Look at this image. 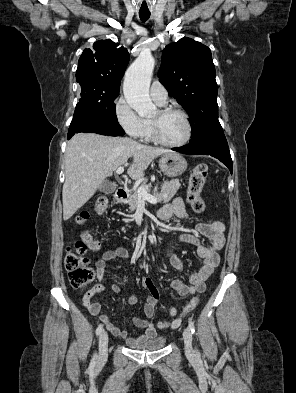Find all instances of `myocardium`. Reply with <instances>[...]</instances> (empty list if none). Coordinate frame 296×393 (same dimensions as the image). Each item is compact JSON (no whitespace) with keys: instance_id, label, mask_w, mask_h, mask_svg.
I'll list each match as a JSON object with an SVG mask.
<instances>
[{"instance_id":"1","label":"myocardium","mask_w":296,"mask_h":393,"mask_svg":"<svg viewBox=\"0 0 296 393\" xmlns=\"http://www.w3.org/2000/svg\"><path fill=\"white\" fill-rule=\"evenodd\" d=\"M159 113L164 116L167 114H171V113H178L180 114L186 123L187 126V132H186V136L179 142H167L165 140L162 139V137L160 136V132H159V126L157 121L155 120H151V127H152V137L153 140L158 143L159 145L165 146V147H170V148H177V147H181L184 146L185 144H187L191 137H192V133H193V127H192V122L191 119L188 115V113L180 108L177 107H165V108H161L158 110Z\"/></svg>"}]
</instances>
